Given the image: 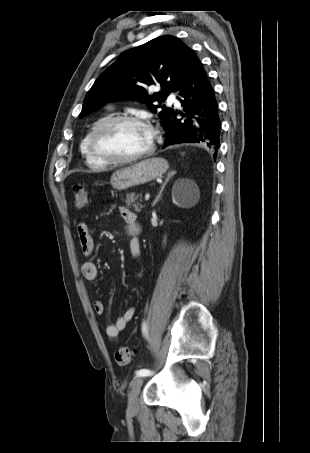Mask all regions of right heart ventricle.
Wrapping results in <instances>:
<instances>
[{
	"instance_id": "obj_1",
	"label": "right heart ventricle",
	"mask_w": 310,
	"mask_h": 453,
	"mask_svg": "<svg viewBox=\"0 0 310 453\" xmlns=\"http://www.w3.org/2000/svg\"><path fill=\"white\" fill-rule=\"evenodd\" d=\"M108 118V115H104L102 117H100L99 119H97L91 126L90 128L87 130V132L85 133V135L83 136L81 142H80V152L82 154V156L84 157L85 159V163L86 165L89 167V168H92V169H99V168H104L106 166H108V164L100 161L99 159H97L91 152L90 150V147H89V138H90V135L93 131V129L101 122L103 121L104 119Z\"/></svg>"
}]
</instances>
